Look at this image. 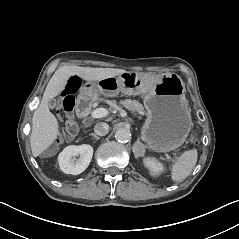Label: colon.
Wrapping results in <instances>:
<instances>
[{"mask_svg":"<svg viewBox=\"0 0 239 239\" xmlns=\"http://www.w3.org/2000/svg\"><path fill=\"white\" fill-rule=\"evenodd\" d=\"M80 82L81 81L78 77L71 78L64 92L63 110L66 113V122L63 128L61 139L72 137L77 132V125L73 119L72 112L75 107L74 94L78 89ZM195 138V133H192L191 139L194 140Z\"/></svg>","mask_w":239,"mask_h":239,"instance_id":"5ec220e1","label":"colon"}]
</instances>
